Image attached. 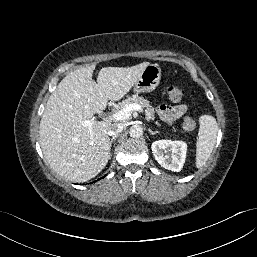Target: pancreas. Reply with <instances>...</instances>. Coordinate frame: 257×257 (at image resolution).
<instances>
[{"instance_id": "1", "label": "pancreas", "mask_w": 257, "mask_h": 257, "mask_svg": "<svg viewBox=\"0 0 257 257\" xmlns=\"http://www.w3.org/2000/svg\"><path fill=\"white\" fill-rule=\"evenodd\" d=\"M129 104H139L141 107L145 108V116L147 120H154V108L150 105L147 99L140 97L138 95H133L132 97H128L127 99L123 100L119 103V108H123Z\"/></svg>"}]
</instances>
